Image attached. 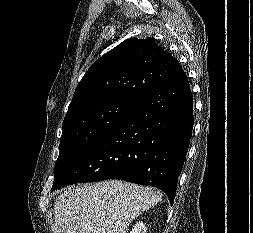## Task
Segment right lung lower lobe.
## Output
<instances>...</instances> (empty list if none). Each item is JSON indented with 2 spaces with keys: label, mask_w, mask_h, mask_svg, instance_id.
<instances>
[{
  "label": "right lung lower lobe",
  "mask_w": 253,
  "mask_h": 233,
  "mask_svg": "<svg viewBox=\"0 0 253 233\" xmlns=\"http://www.w3.org/2000/svg\"><path fill=\"white\" fill-rule=\"evenodd\" d=\"M193 98L183 70L134 101L117 125L64 176L57 188L104 179L153 186L173 204L193 129Z\"/></svg>",
  "instance_id": "obj_1"
}]
</instances>
